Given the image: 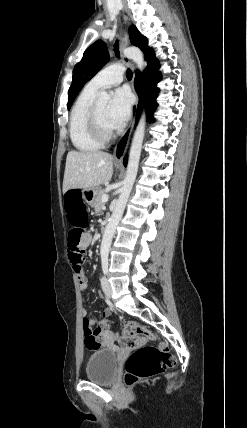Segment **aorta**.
Returning <instances> with one entry per match:
<instances>
[{
  "label": "aorta",
  "mask_w": 247,
  "mask_h": 428,
  "mask_svg": "<svg viewBox=\"0 0 247 428\" xmlns=\"http://www.w3.org/2000/svg\"><path fill=\"white\" fill-rule=\"evenodd\" d=\"M125 55L129 59L135 62L139 70L141 71L144 70L146 63L144 60V55L139 48L131 47L125 51ZM109 99H110L109 94L103 91L100 93L98 97V102L102 105H106ZM145 128H146V114L143 111L133 136L127 169H126V176L123 181V186L121 188L119 198L116 202V206L112 212L109 223L107 224L103 234L101 248H100L101 257L108 256L112 239L116 231V227L119 221L121 220V217L126 207L134 181L136 179L140 156H141L142 144L145 136Z\"/></svg>",
  "instance_id": "762f6f07"
}]
</instances>
